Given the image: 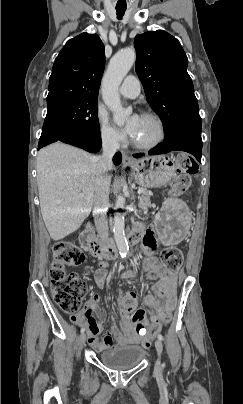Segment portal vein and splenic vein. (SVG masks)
Returning a JSON list of instances; mask_svg holds the SVG:
<instances>
[{"label": "portal vein and splenic vein", "instance_id": "portal-vein-and-splenic-vein-1", "mask_svg": "<svg viewBox=\"0 0 243 404\" xmlns=\"http://www.w3.org/2000/svg\"><path fill=\"white\" fill-rule=\"evenodd\" d=\"M144 188H139L138 194H143ZM80 198H83L84 194H79Z\"/></svg>", "mask_w": 243, "mask_h": 404}]
</instances>
